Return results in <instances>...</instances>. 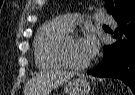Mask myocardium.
Segmentation results:
<instances>
[{
    "mask_svg": "<svg viewBox=\"0 0 135 95\" xmlns=\"http://www.w3.org/2000/svg\"><path fill=\"white\" fill-rule=\"evenodd\" d=\"M77 36L78 35L76 33L69 32L62 38V40L60 41V44L58 46L59 59L61 60V62L63 63L64 66L73 68V69H81V68H85L89 65L88 61H86L84 63L72 62L71 60H69V58L67 56L66 46L72 38L77 37Z\"/></svg>",
    "mask_w": 135,
    "mask_h": 95,
    "instance_id": "obj_1",
    "label": "myocardium"
}]
</instances>
